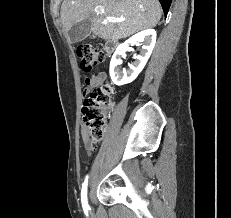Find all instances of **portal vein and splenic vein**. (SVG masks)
I'll use <instances>...</instances> for the list:
<instances>
[{"label": "portal vein and splenic vein", "mask_w": 231, "mask_h": 218, "mask_svg": "<svg viewBox=\"0 0 231 218\" xmlns=\"http://www.w3.org/2000/svg\"><path fill=\"white\" fill-rule=\"evenodd\" d=\"M95 11H96L97 13H103V12H104V7L101 6V5H97V6L95 7ZM108 20H109L110 22H114V23H119V22L125 21L124 18H114V17H109Z\"/></svg>", "instance_id": "1"}]
</instances>
